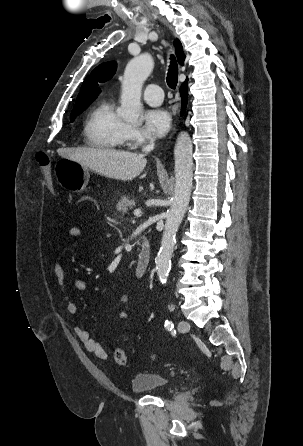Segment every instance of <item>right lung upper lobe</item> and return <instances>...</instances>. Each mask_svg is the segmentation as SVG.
<instances>
[{
	"mask_svg": "<svg viewBox=\"0 0 303 446\" xmlns=\"http://www.w3.org/2000/svg\"><path fill=\"white\" fill-rule=\"evenodd\" d=\"M175 48L178 62L183 65L185 55L182 51V46L179 40H176ZM116 68L117 64L115 62L103 63L96 67L91 72V76L85 78L80 93L76 99L74 108L92 103L100 93L98 84L110 80L114 76Z\"/></svg>",
	"mask_w": 303,
	"mask_h": 446,
	"instance_id": "1",
	"label": "right lung upper lobe"
}]
</instances>
